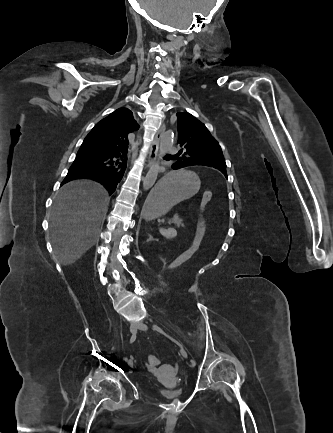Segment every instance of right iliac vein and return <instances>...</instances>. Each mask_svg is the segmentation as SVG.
<instances>
[{
	"mask_svg": "<svg viewBox=\"0 0 333 433\" xmlns=\"http://www.w3.org/2000/svg\"><path fill=\"white\" fill-rule=\"evenodd\" d=\"M130 332H131L132 334L136 333V326H135L134 324H131V325H130ZM128 364H129V366L132 367V365H133L132 360H130Z\"/></svg>",
	"mask_w": 333,
	"mask_h": 433,
	"instance_id": "63e3f726",
	"label": "right iliac vein"
}]
</instances>
